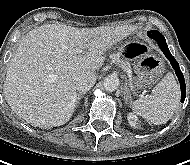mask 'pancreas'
<instances>
[{"label":"pancreas","mask_w":190,"mask_h":165,"mask_svg":"<svg viewBox=\"0 0 190 165\" xmlns=\"http://www.w3.org/2000/svg\"><path fill=\"white\" fill-rule=\"evenodd\" d=\"M114 60L117 61L125 70L129 69V65L127 63L123 62L122 60L118 58H115Z\"/></svg>","instance_id":"obj_1"}]
</instances>
